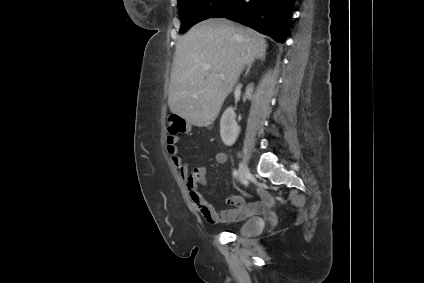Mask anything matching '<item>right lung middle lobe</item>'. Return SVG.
Returning a JSON list of instances; mask_svg holds the SVG:
<instances>
[{"label": "right lung middle lobe", "mask_w": 424, "mask_h": 283, "mask_svg": "<svg viewBox=\"0 0 424 283\" xmlns=\"http://www.w3.org/2000/svg\"><path fill=\"white\" fill-rule=\"evenodd\" d=\"M229 2L230 0H178L180 33H185L196 23L211 18Z\"/></svg>", "instance_id": "obj_1"}]
</instances>
